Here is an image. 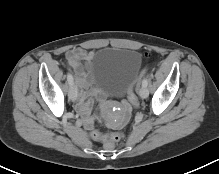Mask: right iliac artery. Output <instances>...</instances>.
<instances>
[{
  "instance_id": "82829eb1",
  "label": "right iliac artery",
  "mask_w": 219,
  "mask_h": 174,
  "mask_svg": "<svg viewBox=\"0 0 219 174\" xmlns=\"http://www.w3.org/2000/svg\"><path fill=\"white\" fill-rule=\"evenodd\" d=\"M67 81L70 85L73 84V76H72L71 72L67 73Z\"/></svg>"
}]
</instances>
